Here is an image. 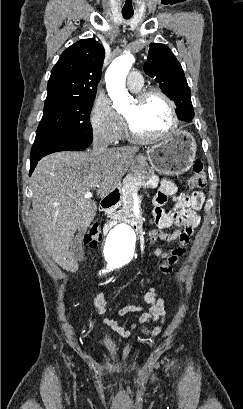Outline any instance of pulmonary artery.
Instances as JSON below:
<instances>
[{"instance_id": "e3ab8cb5", "label": "pulmonary artery", "mask_w": 243, "mask_h": 409, "mask_svg": "<svg viewBox=\"0 0 243 409\" xmlns=\"http://www.w3.org/2000/svg\"><path fill=\"white\" fill-rule=\"evenodd\" d=\"M127 85L131 90H138L143 85V77L138 71H131L127 77Z\"/></svg>"}]
</instances>
